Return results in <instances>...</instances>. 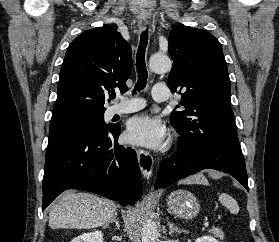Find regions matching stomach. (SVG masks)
I'll use <instances>...</instances> for the list:
<instances>
[{"label": "stomach", "instance_id": "1", "mask_svg": "<svg viewBox=\"0 0 279 242\" xmlns=\"http://www.w3.org/2000/svg\"><path fill=\"white\" fill-rule=\"evenodd\" d=\"M168 210L175 216L191 219L200 211V204L194 194L187 190H176L167 197Z\"/></svg>", "mask_w": 279, "mask_h": 242}]
</instances>
